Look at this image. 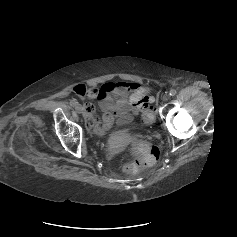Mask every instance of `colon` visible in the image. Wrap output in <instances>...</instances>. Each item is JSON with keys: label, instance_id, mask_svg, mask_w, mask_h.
Masks as SVG:
<instances>
[{"label": "colon", "instance_id": "obj_1", "mask_svg": "<svg viewBox=\"0 0 237 237\" xmlns=\"http://www.w3.org/2000/svg\"><path fill=\"white\" fill-rule=\"evenodd\" d=\"M154 119L153 108L148 102L143 114V122L151 123ZM133 161L126 166L129 173H135L140 167L151 166L155 164L159 158V149L146 141H136L131 146Z\"/></svg>", "mask_w": 237, "mask_h": 237}]
</instances>
